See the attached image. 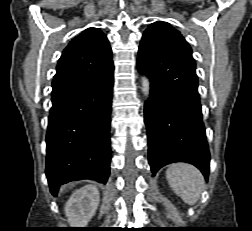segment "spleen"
<instances>
[{
	"instance_id": "1",
	"label": "spleen",
	"mask_w": 252,
	"mask_h": 231,
	"mask_svg": "<svg viewBox=\"0 0 252 231\" xmlns=\"http://www.w3.org/2000/svg\"><path fill=\"white\" fill-rule=\"evenodd\" d=\"M166 178L173 192L189 205L198 201L205 185L201 172L186 163L170 165Z\"/></svg>"
}]
</instances>
